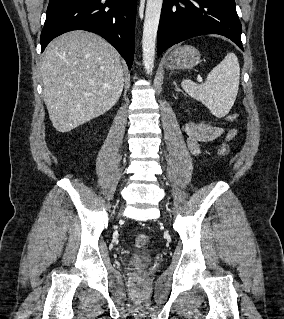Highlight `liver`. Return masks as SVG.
<instances>
[{"instance_id":"obj_1","label":"liver","mask_w":284,"mask_h":319,"mask_svg":"<svg viewBox=\"0 0 284 319\" xmlns=\"http://www.w3.org/2000/svg\"><path fill=\"white\" fill-rule=\"evenodd\" d=\"M41 74L50 120L62 133L111 109L124 85L119 53L102 37L81 30L48 45Z\"/></svg>"}]
</instances>
